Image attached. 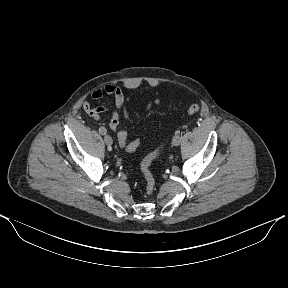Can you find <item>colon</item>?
I'll return each instance as SVG.
<instances>
[{
  "label": "colon",
  "mask_w": 288,
  "mask_h": 288,
  "mask_svg": "<svg viewBox=\"0 0 288 288\" xmlns=\"http://www.w3.org/2000/svg\"><path fill=\"white\" fill-rule=\"evenodd\" d=\"M199 110H200L199 105L192 104L187 108V113L189 115H195L199 112ZM118 140H119V143L127 151L136 150L140 144L139 140L129 142L127 139V132L125 130L121 132L120 136H118ZM161 153H162V146L158 147L157 150L147 155L141 163V170L145 178L146 191L148 194H151L155 188V178L151 171V165L154 161H156L160 157Z\"/></svg>",
  "instance_id": "5ec220e1"
}]
</instances>
